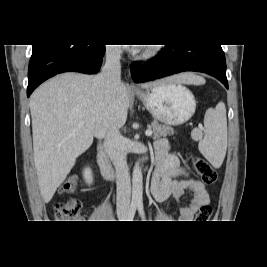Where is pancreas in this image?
<instances>
[{
    "label": "pancreas",
    "mask_w": 267,
    "mask_h": 267,
    "mask_svg": "<svg viewBox=\"0 0 267 267\" xmlns=\"http://www.w3.org/2000/svg\"><path fill=\"white\" fill-rule=\"evenodd\" d=\"M151 127L153 129V139H157L162 136L165 137L167 135H172L174 133V130L172 127L159 124L156 121H153L151 123Z\"/></svg>",
    "instance_id": "obj_1"
}]
</instances>
